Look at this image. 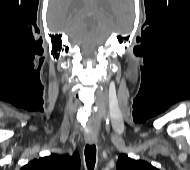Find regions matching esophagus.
Returning <instances> with one entry per match:
<instances>
[{"instance_id": "34e87169", "label": "esophagus", "mask_w": 190, "mask_h": 170, "mask_svg": "<svg viewBox=\"0 0 190 170\" xmlns=\"http://www.w3.org/2000/svg\"><path fill=\"white\" fill-rule=\"evenodd\" d=\"M85 141L86 143L92 145L95 144L97 142V136L95 135H88L85 137Z\"/></svg>"}]
</instances>
